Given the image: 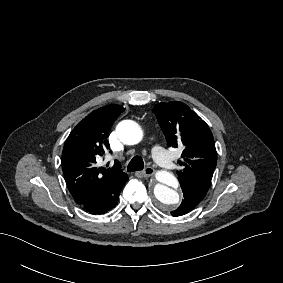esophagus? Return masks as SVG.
<instances>
[{
    "label": "esophagus",
    "instance_id": "esophagus-1",
    "mask_svg": "<svg viewBox=\"0 0 283 283\" xmlns=\"http://www.w3.org/2000/svg\"><path fill=\"white\" fill-rule=\"evenodd\" d=\"M155 170L152 167H146L143 171L138 172L143 177H150L154 175Z\"/></svg>",
    "mask_w": 283,
    "mask_h": 283
}]
</instances>
